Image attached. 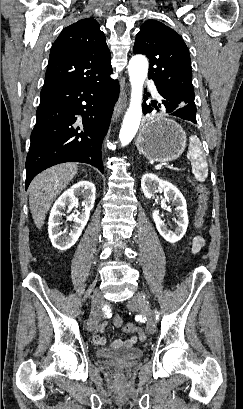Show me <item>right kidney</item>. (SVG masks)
Returning <instances> with one entry per match:
<instances>
[{"instance_id": "1", "label": "right kidney", "mask_w": 243, "mask_h": 409, "mask_svg": "<svg viewBox=\"0 0 243 409\" xmlns=\"http://www.w3.org/2000/svg\"><path fill=\"white\" fill-rule=\"evenodd\" d=\"M95 192L96 189L92 182L80 181L66 190L55 201L48 222L49 237L55 248L65 251L76 243L89 220L90 211L95 202ZM79 196L83 198L82 205L84 206V212L80 216L69 217V220H72L74 225L68 235L62 236L63 233L60 228V225L63 223L62 210L67 206L68 211H71L74 206L78 204Z\"/></svg>"}]
</instances>
